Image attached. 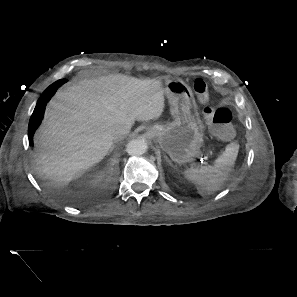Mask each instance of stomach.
Masks as SVG:
<instances>
[{"label":"stomach","mask_w":297,"mask_h":297,"mask_svg":"<svg viewBox=\"0 0 297 297\" xmlns=\"http://www.w3.org/2000/svg\"><path fill=\"white\" fill-rule=\"evenodd\" d=\"M174 120L167 125H153L147 132L178 164L192 162L203 146V125L191 88L180 79H167L163 88Z\"/></svg>","instance_id":"0dacf381"}]
</instances>
